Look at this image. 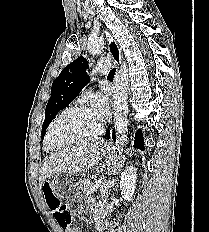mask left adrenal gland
<instances>
[{
	"label": "left adrenal gland",
	"mask_w": 209,
	"mask_h": 232,
	"mask_svg": "<svg viewBox=\"0 0 209 232\" xmlns=\"http://www.w3.org/2000/svg\"><path fill=\"white\" fill-rule=\"evenodd\" d=\"M115 180L104 181L101 186V193L103 194L102 198L106 200V194L108 193L109 188L113 185Z\"/></svg>",
	"instance_id": "a2214340"
}]
</instances>
